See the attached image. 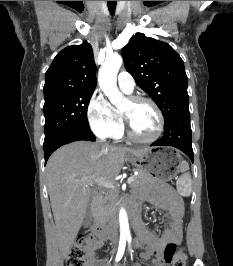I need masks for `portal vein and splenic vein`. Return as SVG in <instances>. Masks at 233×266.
<instances>
[{
	"label": "portal vein and splenic vein",
	"instance_id": "obj_1",
	"mask_svg": "<svg viewBox=\"0 0 233 266\" xmlns=\"http://www.w3.org/2000/svg\"><path fill=\"white\" fill-rule=\"evenodd\" d=\"M133 181H134V176H130L127 179L128 184H131ZM77 182H88L89 184L96 183V184L103 186V187H107V188H111V189L115 188L113 182H111L107 179H104V178H99V177H90V178H86L83 180H79Z\"/></svg>",
	"mask_w": 233,
	"mask_h": 266
}]
</instances>
